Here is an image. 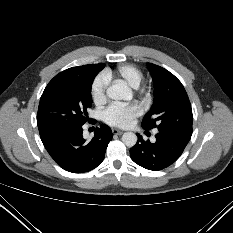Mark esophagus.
Returning <instances> with one entry per match:
<instances>
[{
  "label": "esophagus",
  "instance_id": "1",
  "mask_svg": "<svg viewBox=\"0 0 233 233\" xmlns=\"http://www.w3.org/2000/svg\"><path fill=\"white\" fill-rule=\"evenodd\" d=\"M112 133H113L114 135H121V134L123 133V131L120 130V129H117V128H113V129H112Z\"/></svg>",
  "mask_w": 233,
  "mask_h": 233
}]
</instances>
